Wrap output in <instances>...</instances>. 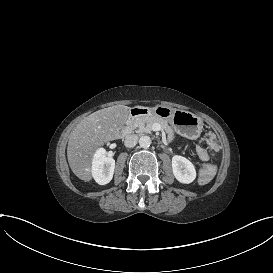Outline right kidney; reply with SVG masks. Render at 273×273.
<instances>
[{
	"label": "right kidney",
	"mask_w": 273,
	"mask_h": 273,
	"mask_svg": "<svg viewBox=\"0 0 273 273\" xmlns=\"http://www.w3.org/2000/svg\"><path fill=\"white\" fill-rule=\"evenodd\" d=\"M114 169L115 160L106 156L104 148L97 149L93 155L91 168L94 180L100 185L109 183L113 178Z\"/></svg>",
	"instance_id": "ca27d5eb"
}]
</instances>
